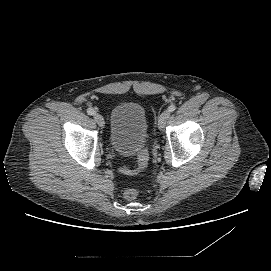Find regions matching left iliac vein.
Masks as SVG:
<instances>
[{
	"mask_svg": "<svg viewBox=\"0 0 271 271\" xmlns=\"http://www.w3.org/2000/svg\"><path fill=\"white\" fill-rule=\"evenodd\" d=\"M170 116V112L168 110L164 111L159 119H158V127L160 130H162L165 127L166 121Z\"/></svg>",
	"mask_w": 271,
	"mask_h": 271,
	"instance_id": "obj_1",
	"label": "left iliac vein"
}]
</instances>
